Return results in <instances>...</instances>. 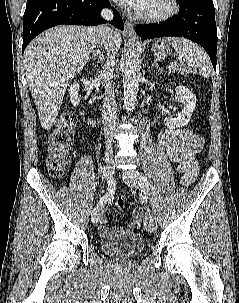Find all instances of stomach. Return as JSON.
I'll list each match as a JSON object with an SVG mask.
<instances>
[{"instance_id":"stomach-1","label":"stomach","mask_w":239,"mask_h":303,"mask_svg":"<svg viewBox=\"0 0 239 303\" xmlns=\"http://www.w3.org/2000/svg\"><path fill=\"white\" fill-rule=\"evenodd\" d=\"M151 48L152 51L154 52V55L158 59H164L165 57L168 56L169 48L164 43H161L160 41H156Z\"/></svg>"}]
</instances>
